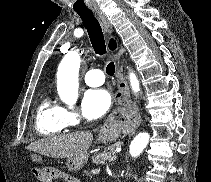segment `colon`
Listing matches in <instances>:
<instances>
[{
    "label": "colon",
    "instance_id": "obj_1",
    "mask_svg": "<svg viewBox=\"0 0 211 182\" xmlns=\"http://www.w3.org/2000/svg\"><path fill=\"white\" fill-rule=\"evenodd\" d=\"M35 176L45 182H53L55 179L66 180L67 174H64L56 169L43 168L35 171Z\"/></svg>",
    "mask_w": 211,
    "mask_h": 182
}]
</instances>
